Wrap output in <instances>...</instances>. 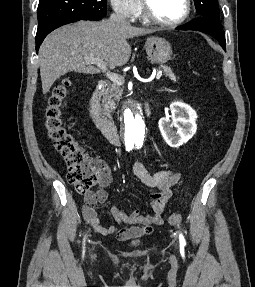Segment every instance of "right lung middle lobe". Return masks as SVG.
Returning a JSON list of instances; mask_svg holds the SVG:
<instances>
[{"label":"right lung middle lobe","instance_id":"1","mask_svg":"<svg viewBox=\"0 0 255 287\" xmlns=\"http://www.w3.org/2000/svg\"><path fill=\"white\" fill-rule=\"evenodd\" d=\"M106 0H40L38 25L64 18L101 20L106 15Z\"/></svg>","mask_w":255,"mask_h":287}]
</instances>
